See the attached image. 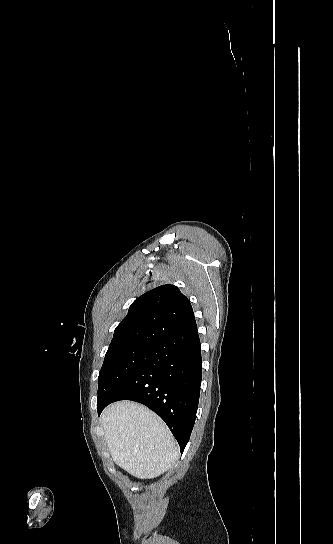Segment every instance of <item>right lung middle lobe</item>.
Instances as JSON below:
<instances>
[{
	"label": "right lung middle lobe",
	"instance_id": "obj_1",
	"mask_svg": "<svg viewBox=\"0 0 333 544\" xmlns=\"http://www.w3.org/2000/svg\"><path fill=\"white\" fill-rule=\"evenodd\" d=\"M152 345L110 349L98 377L97 407L112 399L148 357Z\"/></svg>",
	"mask_w": 333,
	"mask_h": 544
}]
</instances>
